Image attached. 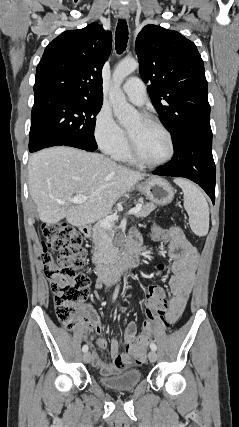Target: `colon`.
Wrapping results in <instances>:
<instances>
[{"instance_id": "obj_1", "label": "colon", "mask_w": 239, "mask_h": 427, "mask_svg": "<svg viewBox=\"0 0 239 427\" xmlns=\"http://www.w3.org/2000/svg\"><path fill=\"white\" fill-rule=\"evenodd\" d=\"M151 229L147 232L150 244L170 243V236L161 222H152ZM41 231L45 241L40 259L44 265V273L51 283L55 313L58 320L72 330L78 320L81 305L90 294L89 277L82 271L86 254L82 235L66 223H45ZM50 251L57 252L56 258H53ZM158 251L161 254L164 250ZM166 267L165 262H157L156 281H149L144 289L147 320L137 342L128 349L138 364L146 359L147 346L155 325L163 329L169 325L164 319L168 291L164 284H159L167 281Z\"/></svg>"}]
</instances>
